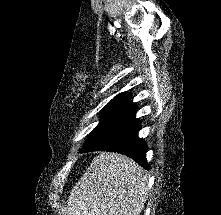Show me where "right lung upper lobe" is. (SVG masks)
I'll use <instances>...</instances> for the list:
<instances>
[{
  "label": "right lung upper lobe",
  "mask_w": 221,
  "mask_h": 215,
  "mask_svg": "<svg viewBox=\"0 0 221 215\" xmlns=\"http://www.w3.org/2000/svg\"><path fill=\"white\" fill-rule=\"evenodd\" d=\"M137 106L124 92L114 97L103 109L101 115L126 118L136 112Z\"/></svg>",
  "instance_id": "1"
}]
</instances>
